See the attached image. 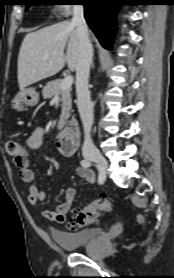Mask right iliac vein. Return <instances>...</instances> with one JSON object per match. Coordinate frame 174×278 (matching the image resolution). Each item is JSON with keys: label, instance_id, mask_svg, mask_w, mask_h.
Segmentation results:
<instances>
[{"label": "right iliac vein", "instance_id": "1", "mask_svg": "<svg viewBox=\"0 0 174 278\" xmlns=\"http://www.w3.org/2000/svg\"><path fill=\"white\" fill-rule=\"evenodd\" d=\"M85 158L94 161L104 172L108 167V163L99 151H91L85 155Z\"/></svg>", "mask_w": 174, "mask_h": 278}]
</instances>
